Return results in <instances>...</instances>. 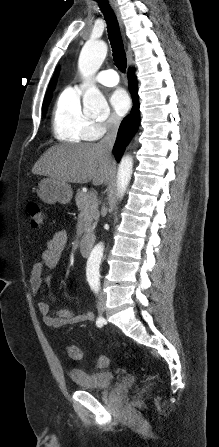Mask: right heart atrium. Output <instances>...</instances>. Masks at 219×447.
I'll return each mask as SVG.
<instances>
[{
	"instance_id": "1",
	"label": "right heart atrium",
	"mask_w": 219,
	"mask_h": 447,
	"mask_svg": "<svg viewBox=\"0 0 219 447\" xmlns=\"http://www.w3.org/2000/svg\"><path fill=\"white\" fill-rule=\"evenodd\" d=\"M120 124V119L116 116H111L108 119L96 123V130L99 137L113 132L117 129Z\"/></svg>"
}]
</instances>
